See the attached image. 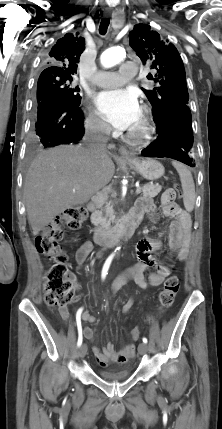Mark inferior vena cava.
<instances>
[{
    "label": "inferior vena cava",
    "mask_w": 222,
    "mask_h": 429,
    "mask_svg": "<svg viewBox=\"0 0 222 429\" xmlns=\"http://www.w3.org/2000/svg\"><path fill=\"white\" fill-rule=\"evenodd\" d=\"M111 126L99 119L93 120L86 127L84 142L89 152L98 154L106 151Z\"/></svg>",
    "instance_id": "602c4592"
}]
</instances>
